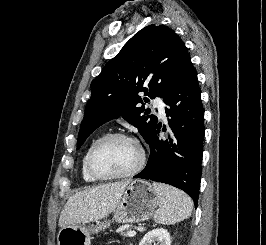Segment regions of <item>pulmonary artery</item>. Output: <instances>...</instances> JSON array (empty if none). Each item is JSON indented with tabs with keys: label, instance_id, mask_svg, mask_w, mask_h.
<instances>
[{
	"label": "pulmonary artery",
	"instance_id": "obj_1",
	"mask_svg": "<svg viewBox=\"0 0 266 245\" xmlns=\"http://www.w3.org/2000/svg\"><path fill=\"white\" fill-rule=\"evenodd\" d=\"M154 107H156L159 111V114L162 118H165V104L161 99H156L153 102Z\"/></svg>",
	"mask_w": 266,
	"mask_h": 245
}]
</instances>
